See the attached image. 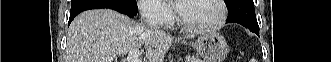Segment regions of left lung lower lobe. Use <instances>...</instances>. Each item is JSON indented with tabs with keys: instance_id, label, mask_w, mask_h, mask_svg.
I'll return each mask as SVG.
<instances>
[{
	"instance_id": "left-lung-lower-lobe-1",
	"label": "left lung lower lobe",
	"mask_w": 331,
	"mask_h": 62,
	"mask_svg": "<svg viewBox=\"0 0 331 62\" xmlns=\"http://www.w3.org/2000/svg\"><path fill=\"white\" fill-rule=\"evenodd\" d=\"M238 23L246 28H248L250 31L256 33L259 36V26L258 25H252L248 23H243V22H235Z\"/></svg>"
}]
</instances>
